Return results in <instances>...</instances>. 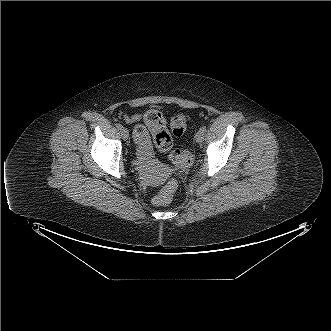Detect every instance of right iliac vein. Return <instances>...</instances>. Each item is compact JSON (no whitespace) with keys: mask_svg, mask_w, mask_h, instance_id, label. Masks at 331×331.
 I'll list each match as a JSON object with an SVG mask.
<instances>
[{"mask_svg":"<svg viewBox=\"0 0 331 331\" xmlns=\"http://www.w3.org/2000/svg\"><path fill=\"white\" fill-rule=\"evenodd\" d=\"M120 133H121L123 140H128L129 132L126 128L123 127L122 129H120Z\"/></svg>","mask_w":331,"mask_h":331,"instance_id":"obj_1","label":"right iliac vein"}]
</instances>
